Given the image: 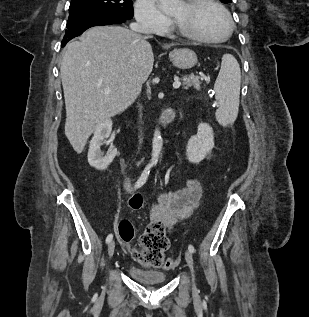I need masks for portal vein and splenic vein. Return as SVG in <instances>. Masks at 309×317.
I'll list each match as a JSON object with an SVG mask.
<instances>
[{
	"label": "portal vein and splenic vein",
	"mask_w": 309,
	"mask_h": 317,
	"mask_svg": "<svg viewBox=\"0 0 309 317\" xmlns=\"http://www.w3.org/2000/svg\"><path fill=\"white\" fill-rule=\"evenodd\" d=\"M180 86H181V82L179 80H175V82L173 83V88L178 89ZM105 92L109 93L110 89H106Z\"/></svg>",
	"instance_id": "portal-vein-and-splenic-vein-1"
}]
</instances>
